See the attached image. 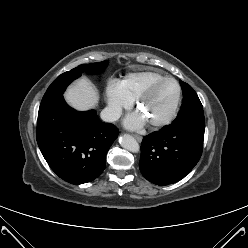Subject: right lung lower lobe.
I'll return each mask as SVG.
<instances>
[{"label": "right lung lower lobe", "mask_w": 248, "mask_h": 248, "mask_svg": "<svg viewBox=\"0 0 248 248\" xmlns=\"http://www.w3.org/2000/svg\"><path fill=\"white\" fill-rule=\"evenodd\" d=\"M119 131L94 110L77 112L63 96L39 108L36 138L51 169L72 184L87 183L105 168L106 154Z\"/></svg>", "instance_id": "right-lung-lower-lobe-1"}]
</instances>
